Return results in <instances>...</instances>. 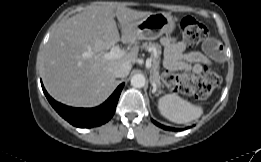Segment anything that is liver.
I'll use <instances>...</instances> for the list:
<instances>
[{
    "instance_id": "liver-1",
    "label": "liver",
    "mask_w": 261,
    "mask_h": 162,
    "mask_svg": "<svg viewBox=\"0 0 261 162\" xmlns=\"http://www.w3.org/2000/svg\"><path fill=\"white\" fill-rule=\"evenodd\" d=\"M150 14L105 4L68 18L51 35L43 56L42 77L48 93L76 107H93L105 101L114 87V67L121 63L132 67L139 48L133 47L118 59L103 55L120 40L134 42L139 34L135 23Z\"/></svg>"
}]
</instances>
